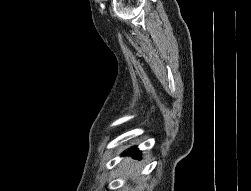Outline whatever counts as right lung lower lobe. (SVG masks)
<instances>
[{
    "instance_id": "1",
    "label": "right lung lower lobe",
    "mask_w": 251,
    "mask_h": 191,
    "mask_svg": "<svg viewBox=\"0 0 251 191\" xmlns=\"http://www.w3.org/2000/svg\"><path fill=\"white\" fill-rule=\"evenodd\" d=\"M125 153H131L135 158H137L141 154V152L136 147H132L131 149L127 150Z\"/></svg>"
}]
</instances>
